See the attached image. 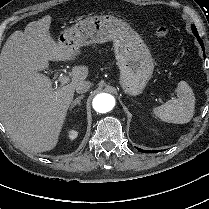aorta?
Segmentation results:
<instances>
[{
  "label": "aorta",
  "mask_w": 209,
  "mask_h": 209,
  "mask_svg": "<svg viewBox=\"0 0 209 209\" xmlns=\"http://www.w3.org/2000/svg\"><path fill=\"white\" fill-rule=\"evenodd\" d=\"M93 108L98 113H107L115 106V98L108 93L97 94L92 102Z\"/></svg>",
  "instance_id": "aorta-1"
}]
</instances>
